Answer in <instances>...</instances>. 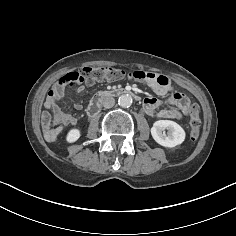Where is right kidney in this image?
<instances>
[{"instance_id": "1", "label": "right kidney", "mask_w": 236, "mask_h": 236, "mask_svg": "<svg viewBox=\"0 0 236 236\" xmlns=\"http://www.w3.org/2000/svg\"><path fill=\"white\" fill-rule=\"evenodd\" d=\"M80 136H81L80 130L77 128H72L71 130H69L66 140L69 143H73V142L77 141L80 138Z\"/></svg>"}]
</instances>
